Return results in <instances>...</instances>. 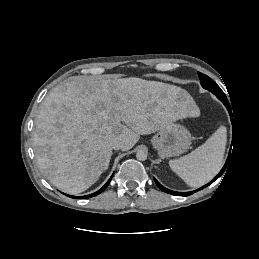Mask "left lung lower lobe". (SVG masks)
Wrapping results in <instances>:
<instances>
[{
  "label": "left lung lower lobe",
  "instance_id": "left-lung-lower-lobe-1",
  "mask_svg": "<svg viewBox=\"0 0 259 259\" xmlns=\"http://www.w3.org/2000/svg\"><path fill=\"white\" fill-rule=\"evenodd\" d=\"M216 96H217L218 99H220V100L223 102V104L226 106V108H227L228 111L230 112V105H229V102H228V100H227V98H226V95L223 93V94H216ZM230 115H231V114H230ZM229 159H230V153H229L228 159H227V161H226L224 167H223L222 170L219 172V174H218L211 182H209L208 184L204 185L203 187H201V188H199V189H197V190H195V191H191V192H175V191H172V190H169V189L163 187L155 178H154V180H155V183L157 184V186H158L162 191H164V192H166V193H169V194H172V195H176V196H188V195H191V194H193V193H195V192H197V191H199V190H201V189H203V188L209 186V185L212 184L217 178H219V177L223 174V172L225 171V169H226V167H227V164H228V162H229Z\"/></svg>",
  "mask_w": 259,
  "mask_h": 259
}]
</instances>
